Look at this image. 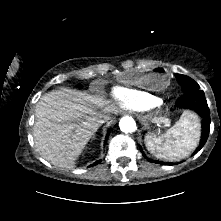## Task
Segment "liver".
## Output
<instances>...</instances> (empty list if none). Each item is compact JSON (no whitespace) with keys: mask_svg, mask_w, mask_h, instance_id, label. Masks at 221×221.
I'll return each instance as SVG.
<instances>
[{"mask_svg":"<svg viewBox=\"0 0 221 221\" xmlns=\"http://www.w3.org/2000/svg\"><path fill=\"white\" fill-rule=\"evenodd\" d=\"M116 112L102 93L62 88L43 95L36 104L33 137L40 156L60 168L71 169L99 129V117Z\"/></svg>","mask_w":221,"mask_h":221,"instance_id":"liver-1","label":"liver"}]
</instances>
